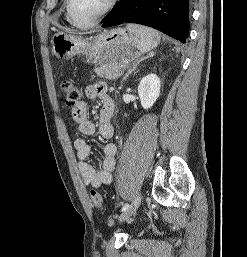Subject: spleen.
<instances>
[{
  "label": "spleen",
  "instance_id": "1",
  "mask_svg": "<svg viewBox=\"0 0 247 257\" xmlns=\"http://www.w3.org/2000/svg\"><path fill=\"white\" fill-rule=\"evenodd\" d=\"M127 29L134 35L136 46L141 53L152 50L160 43V34L152 28L142 25L128 24Z\"/></svg>",
  "mask_w": 247,
  "mask_h": 257
}]
</instances>
